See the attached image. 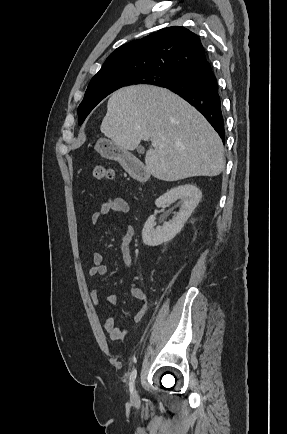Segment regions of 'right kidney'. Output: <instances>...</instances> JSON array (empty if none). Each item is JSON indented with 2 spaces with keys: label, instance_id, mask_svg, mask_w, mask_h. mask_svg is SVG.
Here are the masks:
<instances>
[{
  "label": "right kidney",
  "instance_id": "right-kidney-1",
  "mask_svg": "<svg viewBox=\"0 0 287 434\" xmlns=\"http://www.w3.org/2000/svg\"><path fill=\"white\" fill-rule=\"evenodd\" d=\"M201 198L202 192L194 184L177 186L160 196L155 201L158 208L180 200V210L172 221L164 222L162 227L158 226L157 228H154L156 225L155 216L151 215L142 230L143 243L148 246H158L173 239L182 230Z\"/></svg>",
  "mask_w": 287,
  "mask_h": 434
}]
</instances>
